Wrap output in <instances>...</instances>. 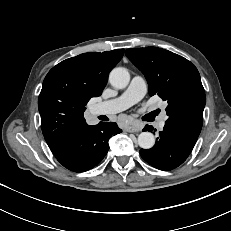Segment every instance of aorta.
<instances>
[{"instance_id": "1", "label": "aorta", "mask_w": 231, "mask_h": 231, "mask_svg": "<svg viewBox=\"0 0 231 231\" xmlns=\"http://www.w3.org/2000/svg\"><path fill=\"white\" fill-rule=\"evenodd\" d=\"M130 81V74L126 68L117 67L114 68L109 75L110 84L117 88H125ZM138 144L143 149H150L155 144V137L151 132L145 131L139 134Z\"/></svg>"}]
</instances>
